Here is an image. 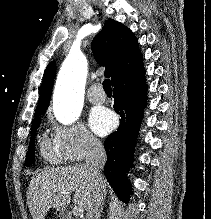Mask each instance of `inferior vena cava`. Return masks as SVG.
<instances>
[{
    "instance_id": "1",
    "label": "inferior vena cava",
    "mask_w": 211,
    "mask_h": 219,
    "mask_svg": "<svg viewBox=\"0 0 211 219\" xmlns=\"http://www.w3.org/2000/svg\"><path fill=\"white\" fill-rule=\"evenodd\" d=\"M88 151L86 154V167L94 182L93 200L87 208L86 219H100L102 206L105 198L104 177L101 173L107 156L101 142L95 138L88 140Z\"/></svg>"
}]
</instances>
